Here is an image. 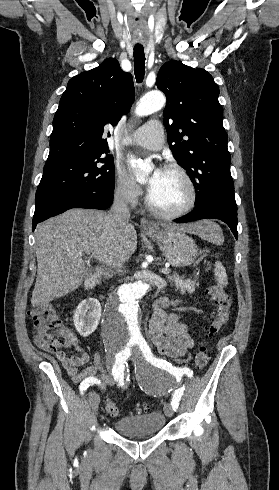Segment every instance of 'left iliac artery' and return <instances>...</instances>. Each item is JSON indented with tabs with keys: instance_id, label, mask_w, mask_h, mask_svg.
Masks as SVG:
<instances>
[{
	"instance_id": "obj_1",
	"label": "left iliac artery",
	"mask_w": 279,
	"mask_h": 490,
	"mask_svg": "<svg viewBox=\"0 0 279 490\" xmlns=\"http://www.w3.org/2000/svg\"><path fill=\"white\" fill-rule=\"evenodd\" d=\"M141 350L144 353V356L148 361H150L152 364L156 365L157 367H160L162 369H165L169 373L177 376H182L183 374H186L188 377H193V371L187 367L184 368H178V367H173L172 364L167 362L166 360L163 359H157L156 357L153 356L151 349L147 345L146 342L141 343ZM185 390L184 387H181L177 390H175L172 400H171V406L174 411L178 409L180 399L183 395V391Z\"/></svg>"
}]
</instances>
